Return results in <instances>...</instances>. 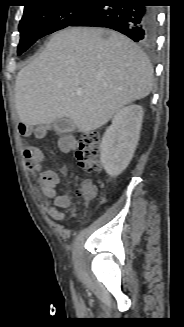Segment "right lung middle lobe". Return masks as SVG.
<instances>
[{"instance_id": "1", "label": "right lung middle lobe", "mask_w": 184, "mask_h": 327, "mask_svg": "<svg viewBox=\"0 0 184 327\" xmlns=\"http://www.w3.org/2000/svg\"><path fill=\"white\" fill-rule=\"evenodd\" d=\"M65 0H47L32 4L24 9L19 23L20 43L18 55L27 50L39 38L71 26L92 5L63 3Z\"/></svg>"}]
</instances>
